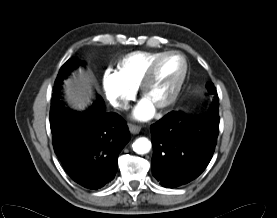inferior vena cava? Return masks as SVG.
Here are the masks:
<instances>
[{
  "mask_svg": "<svg viewBox=\"0 0 277 218\" xmlns=\"http://www.w3.org/2000/svg\"><path fill=\"white\" fill-rule=\"evenodd\" d=\"M114 106L121 109H126L128 107L127 102H115Z\"/></svg>",
  "mask_w": 277,
  "mask_h": 218,
  "instance_id": "1",
  "label": "inferior vena cava"
}]
</instances>
